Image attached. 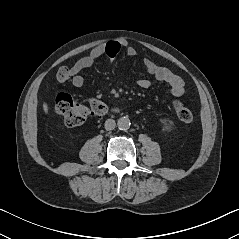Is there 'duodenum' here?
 <instances>
[{
	"instance_id": "obj_1",
	"label": "duodenum",
	"mask_w": 239,
	"mask_h": 239,
	"mask_svg": "<svg viewBox=\"0 0 239 239\" xmlns=\"http://www.w3.org/2000/svg\"><path fill=\"white\" fill-rule=\"evenodd\" d=\"M114 112H118V109H113Z\"/></svg>"
}]
</instances>
